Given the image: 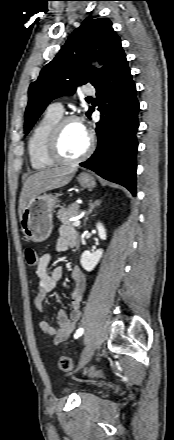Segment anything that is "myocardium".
Instances as JSON below:
<instances>
[{"mask_svg":"<svg viewBox=\"0 0 174 440\" xmlns=\"http://www.w3.org/2000/svg\"><path fill=\"white\" fill-rule=\"evenodd\" d=\"M70 122H79V120L74 116H67L61 118L52 128L48 144H47V154L49 158L56 164L60 165H73L86 159L92 152L94 147V137L92 133L86 132L88 136V143L86 149L75 158H66L60 150V139L62 135L63 128L66 124Z\"/></svg>","mask_w":174,"mask_h":440,"instance_id":"myocardium-1","label":"myocardium"}]
</instances>
